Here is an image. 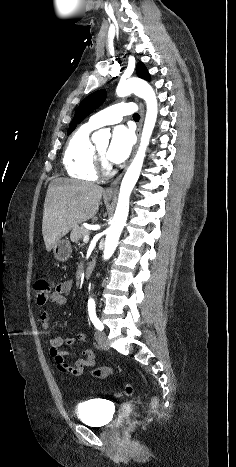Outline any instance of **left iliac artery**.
Instances as JSON below:
<instances>
[{"label": "left iliac artery", "mask_w": 236, "mask_h": 467, "mask_svg": "<svg viewBox=\"0 0 236 467\" xmlns=\"http://www.w3.org/2000/svg\"><path fill=\"white\" fill-rule=\"evenodd\" d=\"M88 313H89L90 320L93 323V325L95 326V328L102 331L104 329V326H103L102 322L99 320V318L96 315L95 302L91 301V302L88 303Z\"/></svg>", "instance_id": "1"}]
</instances>
